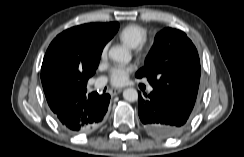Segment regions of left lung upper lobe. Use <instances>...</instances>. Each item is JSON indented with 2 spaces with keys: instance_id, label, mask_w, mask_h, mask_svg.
Instances as JSON below:
<instances>
[{
  "instance_id": "5c2ea615",
  "label": "left lung upper lobe",
  "mask_w": 244,
  "mask_h": 157,
  "mask_svg": "<svg viewBox=\"0 0 244 157\" xmlns=\"http://www.w3.org/2000/svg\"><path fill=\"white\" fill-rule=\"evenodd\" d=\"M136 77H147L152 86L180 106L190 108L194 115L200 97V61L195 46L183 31H160Z\"/></svg>"
}]
</instances>
